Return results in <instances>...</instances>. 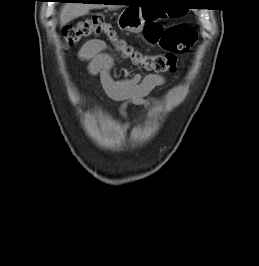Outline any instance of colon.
Returning <instances> with one entry per match:
<instances>
[{"label": "colon", "instance_id": "colon-1", "mask_svg": "<svg viewBox=\"0 0 259 266\" xmlns=\"http://www.w3.org/2000/svg\"><path fill=\"white\" fill-rule=\"evenodd\" d=\"M162 16L156 10H147L145 13V39L159 45L166 51L163 54H144L121 39L113 27L101 16L94 15L83 19L64 30L65 46H73L82 39L92 36H105L123 57L141 66L147 71L155 73L174 72L177 68L178 54L188 52L197 40L195 29L186 24L174 25L165 28L159 19Z\"/></svg>", "mask_w": 259, "mask_h": 266}]
</instances>
